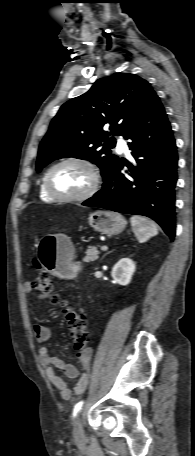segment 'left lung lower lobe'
Listing matches in <instances>:
<instances>
[{"instance_id":"0a47b994","label":"left lung lower lobe","mask_w":195,"mask_h":456,"mask_svg":"<svg viewBox=\"0 0 195 456\" xmlns=\"http://www.w3.org/2000/svg\"><path fill=\"white\" fill-rule=\"evenodd\" d=\"M137 166L118 161L104 179L103 187L82 203L155 220L170 237L175 236L177 150L171 125L157 96L138 117L127 134ZM129 167L127 176L121 173Z\"/></svg>"}]
</instances>
